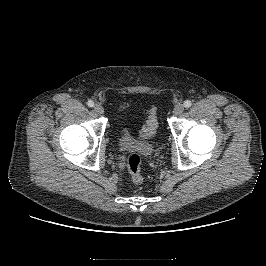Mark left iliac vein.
<instances>
[{
  "label": "left iliac vein",
  "instance_id": "4c4485c4",
  "mask_svg": "<svg viewBox=\"0 0 266 266\" xmlns=\"http://www.w3.org/2000/svg\"><path fill=\"white\" fill-rule=\"evenodd\" d=\"M184 111V105L183 104H177L173 109L174 115H180Z\"/></svg>",
  "mask_w": 266,
  "mask_h": 266
}]
</instances>
